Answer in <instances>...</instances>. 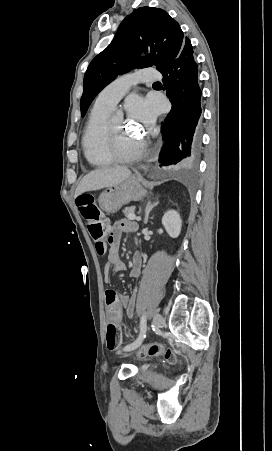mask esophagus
Instances as JSON below:
<instances>
[{
	"mask_svg": "<svg viewBox=\"0 0 272 451\" xmlns=\"http://www.w3.org/2000/svg\"><path fill=\"white\" fill-rule=\"evenodd\" d=\"M141 169H142V170H143L144 172H146V171H147V167H146V166H144V165H143V166L141 167Z\"/></svg>",
	"mask_w": 272,
	"mask_h": 451,
	"instance_id": "1",
	"label": "esophagus"
}]
</instances>
